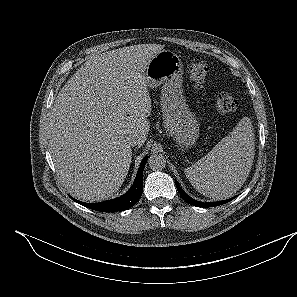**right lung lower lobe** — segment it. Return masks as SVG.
<instances>
[{
	"label": "right lung lower lobe",
	"mask_w": 297,
	"mask_h": 297,
	"mask_svg": "<svg viewBox=\"0 0 297 297\" xmlns=\"http://www.w3.org/2000/svg\"><path fill=\"white\" fill-rule=\"evenodd\" d=\"M147 160H148V156H146L142 160L133 186L123 196L113 199V200H108V201L99 202V203H84V202L75 200L72 197H71V199L76 201L77 203L87 207V208H90V209H93L96 211H100V212H116V211H123V210L131 208L139 201V199L142 195V192H143V170H144V166H145Z\"/></svg>",
	"instance_id": "obj_1"
}]
</instances>
